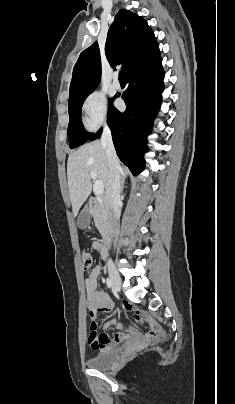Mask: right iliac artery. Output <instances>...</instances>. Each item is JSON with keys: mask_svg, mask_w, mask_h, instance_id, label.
I'll list each match as a JSON object with an SVG mask.
<instances>
[{"mask_svg": "<svg viewBox=\"0 0 235 404\" xmlns=\"http://www.w3.org/2000/svg\"><path fill=\"white\" fill-rule=\"evenodd\" d=\"M106 283H107L108 288L112 287V283L109 278L106 279Z\"/></svg>", "mask_w": 235, "mask_h": 404, "instance_id": "obj_1", "label": "right iliac artery"}]
</instances>
